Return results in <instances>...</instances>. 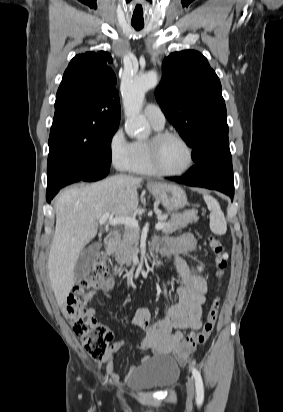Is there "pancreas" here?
I'll return each instance as SVG.
<instances>
[{
  "mask_svg": "<svg viewBox=\"0 0 283 412\" xmlns=\"http://www.w3.org/2000/svg\"><path fill=\"white\" fill-rule=\"evenodd\" d=\"M198 221L196 210H187L183 213L172 214L170 219L164 222L162 232L166 235L186 228L189 224ZM138 228L127 227L120 239L115 242L113 252L115 260L119 265H130L132 257L138 251L139 245Z\"/></svg>",
  "mask_w": 283,
  "mask_h": 412,
  "instance_id": "1",
  "label": "pancreas"
}]
</instances>
